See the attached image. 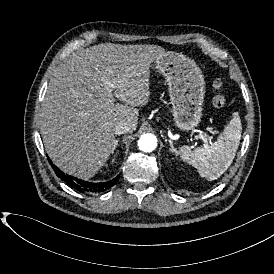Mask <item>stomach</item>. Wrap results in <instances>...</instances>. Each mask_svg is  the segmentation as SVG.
<instances>
[{
  "label": "stomach",
  "mask_w": 274,
  "mask_h": 274,
  "mask_svg": "<svg viewBox=\"0 0 274 274\" xmlns=\"http://www.w3.org/2000/svg\"><path fill=\"white\" fill-rule=\"evenodd\" d=\"M155 66L168 84L176 126L184 131L193 130L201 121L205 95L201 69L194 60L170 51L157 58Z\"/></svg>",
  "instance_id": "0dacf381"
}]
</instances>
